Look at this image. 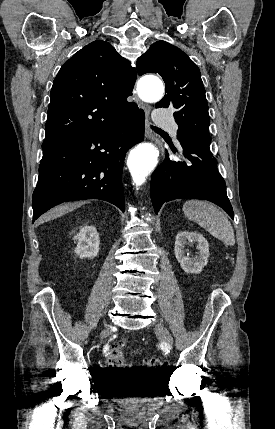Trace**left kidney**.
Masks as SVG:
<instances>
[{
	"label": "left kidney",
	"instance_id": "left-kidney-1",
	"mask_svg": "<svg viewBox=\"0 0 275 429\" xmlns=\"http://www.w3.org/2000/svg\"><path fill=\"white\" fill-rule=\"evenodd\" d=\"M197 243L199 253L196 256L186 255L185 245ZM175 257L180 263L181 268L190 274H198L207 265L209 257V244L207 240L198 232L182 231L176 236Z\"/></svg>",
	"mask_w": 275,
	"mask_h": 429
}]
</instances>
